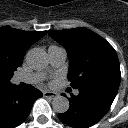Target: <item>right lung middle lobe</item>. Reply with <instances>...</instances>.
Listing matches in <instances>:
<instances>
[{
	"label": "right lung middle lobe",
	"instance_id": "1",
	"mask_svg": "<svg viewBox=\"0 0 128 128\" xmlns=\"http://www.w3.org/2000/svg\"><path fill=\"white\" fill-rule=\"evenodd\" d=\"M15 70L14 68L0 66V85L9 83Z\"/></svg>",
	"mask_w": 128,
	"mask_h": 128
}]
</instances>
